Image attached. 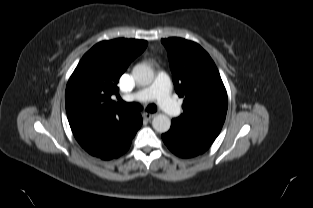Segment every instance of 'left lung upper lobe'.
<instances>
[{"label": "left lung upper lobe", "mask_w": 313, "mask_h": 208, "mask_svg": "<svg viewBox=\"0 0 313 208\" xmlns=\"http://www.w3.org/2000/svg\"><path fill=\"white\" fill-rule=\"evenodd\" d=\"M167 49L175 90L183 97V114L172 122L195 134L217 137L227 113V93L209 54L182 38L161 40Z\"/></svg>", "instance_id": "left-lung-upper-lobe-1"}]
</instances>
